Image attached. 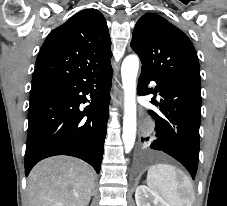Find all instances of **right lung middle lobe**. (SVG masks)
I'll return each instance as SVG.
<instances>
[{
    "label": "right lung middle lobe",
    "mask_w": 227,
    "mask_h": 206,
    "mask_svg": "<svg viewBox=\"0 0 227 206\" xmlns=\"http://www.w3.org/2000/svg\"><path fill=\"white\" fill-rule=\"evenodd\" d=\"M54 82H41L32 84L30 93L50 87Z\"/></svg>",
    "instance_id": "obj_1"
}]
</instances>
